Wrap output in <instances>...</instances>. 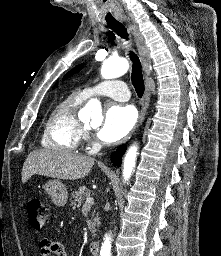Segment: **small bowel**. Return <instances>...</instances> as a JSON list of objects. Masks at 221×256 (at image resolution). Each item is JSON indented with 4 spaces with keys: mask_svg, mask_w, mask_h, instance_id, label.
<instances>
[{
    "mask_svg": "<svg viewBox=\"0 0 221 256\" xmlns=\"http://www.w3.org/2000/svg\"><path fill=\"white\" fill-rule=\"evenodd\" d=\"M39 250L41 256H68L64 245L53 239L42 238L39 241Z\"/></svg>",
    "mask_w": 221,
    "mask_h": 256,
    "instance_id": "obj_1",
    "label": "small bowel"
}]
</instances>
